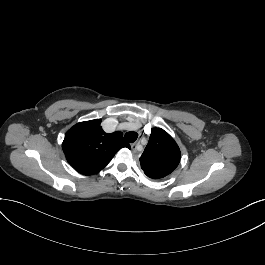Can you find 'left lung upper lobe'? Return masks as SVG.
<instances>
[{
    "mask_svg": "<svg viewBox=\"0 0 265 265\" xmlns=\"http://www.w3.org/2000/svg\"><path fill=\"white\" fill-rule=\"evenodd\" d=\"M181 152L173 138L161 128H154L140 157L141 168L152 179L172 173L180 162Z\"/></svg>",
    "mask_w": 265,
    "mask_h": 265,
    "instance_id": "5c2ea615",
    "label": "left lung upper lobe"
}]
</instances>
